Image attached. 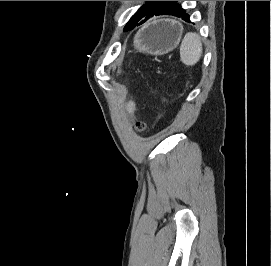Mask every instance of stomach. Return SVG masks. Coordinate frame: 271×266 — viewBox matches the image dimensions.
I'll use <instances>...</instances> for the list:
<instances>
[{"label": "stomach", "mask_w": 271, "mask_h": 266, "mask_svg": "<svg viewBox=\"0 0 271 266\" xmlns=\"http://www.w3.org/2000/svg\"><path fill=\"white\" fill-rule=\"evenodd\" d=\"M181 34V26L176 22L155 21L136 34L134 47L141 53L162 55L176 48Z\"/></svg>", "instance_id": "0dacf381"}]
</instances>
